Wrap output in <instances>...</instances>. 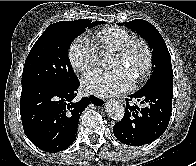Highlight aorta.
<instances>
[{
	"instance_id": "1",
	"label": "aorta",
	"mask_w": 196,
	"mask_h": 166,
	"mask_svg": "<svg viewBox=\"0 0 196 166\" xmlns=\"http://www.w3.org/2000/svg\"><path fill=\"white\" fill-rule=\"evenodd\" d=\"M106 112L111 119L121 121L124 117L125 109L119 102L110 101L106 104Z\"/></svg>"
}]
</instances>
